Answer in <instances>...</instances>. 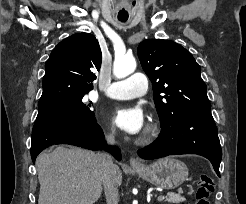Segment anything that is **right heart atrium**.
<instances>
[{"mask_svg":"<svg viewBox=\"0 0 246 204\" xmlns=\"http://www.w3.org/2000/svg\"><path fill=\"white\" fill-rule=\"evenodd\" d=\"M115 129L112 125L107 126L106 128V135L108 138H112L114 136Z\"/></svg>","mask_w":246,"mask_h":204,"instance_id":"obj_1","label":"right heart atrium"}]
</instances>
